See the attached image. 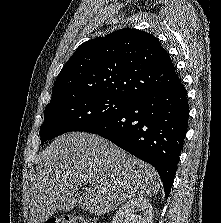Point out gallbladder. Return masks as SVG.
Listing matches in <instances>:
<instances>
[{
    "mask_svg": "<svg viewBox=\"0 0 221 223\" xmlns=\"http://www.w3.org/2000/svg\"><path fill=\"white\" fill-rule=\"evenodd\" d=\"M76 198L75 197H71L70 200L68 201V205H69V210L72 209V207L75 205L76 203Z\"/></svg>",
    "mask_w": 221,
    "mask_h": 223,
    "instance_id": "bac80fb5",
    "label": "gallbladder"
}]
</instances>
